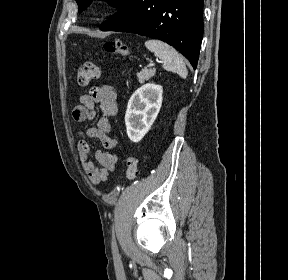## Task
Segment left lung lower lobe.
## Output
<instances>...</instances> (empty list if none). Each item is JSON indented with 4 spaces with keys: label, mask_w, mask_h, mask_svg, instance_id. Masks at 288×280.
Here are the masks:
<instances>
[{
    "label": "left lung lower lobe",
    "mask_w": 288,
    "mask_h": 280,
    "mask_svg": "<svg viewBox=\"0 0 288 280\" xmlns=\"http://www.w3.org/2000/svg\"><path fill=\"white\" fill-rule=\"evenodd\" d=\"M203 0H132L102 31H123L162 40L197 67L203 35Z\"/></svg>",
    "instance_id": "left-lung-lower-lobe-1"
}]
</instances>
